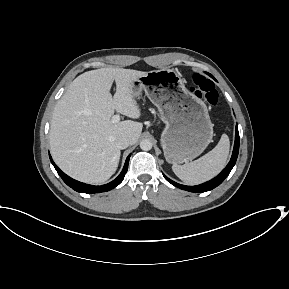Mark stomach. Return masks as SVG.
Wrapping results in <instances>:
<instances>
[{"mask_svg":"<svg viewBox=\"0 0 289 289\" xmlns=\"http://www.w3.org/2000/svg\"><path fill=\"white\" fill-rule=\"evenodd\" d=\"M143 91L165 123L161 146L167 162L181 164L199 156L212 141L213 124L206 104L186 89L181 74L167 68L147 72L132 83L134 98Z\"/></svg>","mask_w":289,"mask_h":289,"instance_id":"0dacf381","label":"stomach"}]
</instances>
